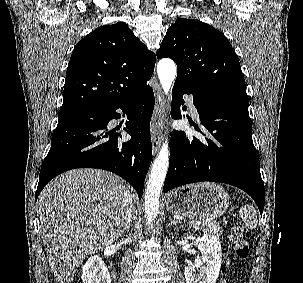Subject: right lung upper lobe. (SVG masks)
<instances>
[{"mask_svg": "<svg viewBox=\"0 0 303 283\" xmlns=\"http://www.w3.org/2000/svg\"><path fill=\"white\" fill-rule=\"evenodd\" d=\"M156 56L123 22L101 26L75 46L59 118L90 113L129 98L151 78Z\"/></svg>", "mask_w": 303, "mask_h": 283, "instance_id": "cb5924a9", "label": "right lung upper lobe"}]
</instances>
